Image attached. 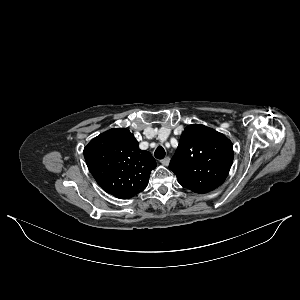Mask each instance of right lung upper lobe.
I'll return each mask as SVG.
<instances>
[{"mask_svg": "<svg viewBox=\"0 0 300 300\" xmlns=\"http://www.w3.org/2000/svg\"><path fill=\"white\" fill-rule=\"evenodd\" d=\"M91 174L102 189L128 199L143 191L156 162L151 153L138 148L134 135L125 128L110 129L84 148Z\"/></svg>", "mask_w": 300, "mask_h": 300, "instance_id": "1", "label": "right lung upper lobe"}]
</instances>
